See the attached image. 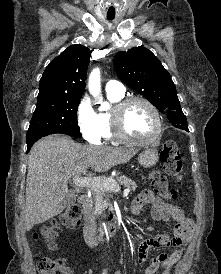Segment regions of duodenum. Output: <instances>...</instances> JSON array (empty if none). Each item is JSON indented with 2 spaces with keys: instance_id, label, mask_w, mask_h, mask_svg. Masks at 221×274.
I'll list each match as a JSON object with an SVG mask.
<instances>
[{
  "instance_id": "1",
  "label": "duodenum",
  "mask_w": 221,
  "mask_h": 274,
  "mask_svg": "<svg viewBox=\"0 0 221 274\" xmlns=\"http://www.w3.org/2000/svg\"><path fill=\"white\" fill-rule=\"evenodd\" d=\"M79 204L84 208V237L88 245H96L98 239L94 234L93 225H94V216L89 210L90 197L87 194H82L78 199ZM119 231L118 224L112 215L109 216L108 223L105 227V234L109 236L117 235Z\"/></svg>"
}]
</instances>
